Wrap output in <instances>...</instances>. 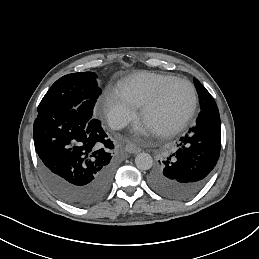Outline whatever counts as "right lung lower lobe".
I'll use <instances>...</instances> for the list:
<instances>
[{
  "mask_svg": "<svg viewBox=\"0 0 259 259\" xmlns=\"http://www.w3.org/2000/svg\"><path fill=\"white\" fill-rule=\"evenodd\" d=\"M35 150L49 188L63 201L85 207L109 190L115 171L114 145L101 121L75 109L38 113Z\"/></svg>",
  "mask_w": 259,
  "mask_h": 259,
  "instance_id": "obj_1",
  "label": "right lung lower lobe"
}]
</instances>
